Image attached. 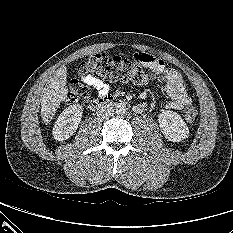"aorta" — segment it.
Wrapping results in <instances>:
<instances>
[{"mask_svg": "<svg viewBox=\"0 0 233 233\" xmlns=\"http://www.w3.org/2000/svg\"><path fill=\"white\" fill-rule=\"evenodd\" d=\"M126 110H127L126 105L122 103L118 104L115 108V112L119 116L124 115L126 113Z\"/></svg>", "mask_w": 233, "mask_h": 233, "instance_id": "1", "label": "aorta"}]
</instances>
